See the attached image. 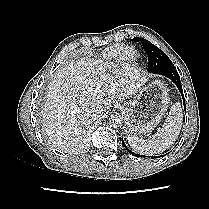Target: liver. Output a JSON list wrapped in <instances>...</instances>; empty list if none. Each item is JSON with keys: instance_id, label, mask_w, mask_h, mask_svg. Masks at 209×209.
I'll return each instance as SVG.
<instances>
[{"instance_id": "liver-1", "label": "liver", "mask_w": 209, "mask_h": 209, "mask_svg": "<svg viewBox=\"0 0 209 209\" xmlns=\"http://www.w3.org/2000/svg\"><path fill=\"white\" fill-rule=\"evenodd\" d=\"M135 67L82 59L69 64L49 83L43 126L54 147L69 154L89 148L91 123L105 116L113 100L130 98L146 82Z\"/></svg>"}]
</instances>
